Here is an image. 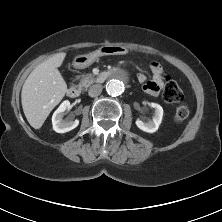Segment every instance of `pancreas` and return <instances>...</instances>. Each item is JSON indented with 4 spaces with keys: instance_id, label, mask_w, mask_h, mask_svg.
<instances>
[{
    "instance_id": "1",
    "label": "pancreas",
    "mask_w": 222,
    "mask_h": 222,
    "mask_svg": "<svg viewBox=\"0 0 222 222\" xmlns=\"http://www.w3.org/2000/svg\"><path fill=\"white\" fill-rule=\"evenodd\" d=\"M80 77L81 79L78 84L80 88H87L96 81V78L92 73L83 74Z\"/></svg>"
}]
</instances>
